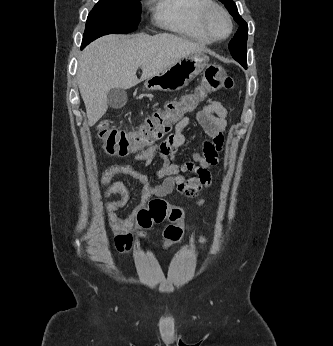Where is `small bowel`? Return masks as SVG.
<instances>
[{
    "mask_svg": "<svg viewBox=\"0 0 333 346\" xmlns=\"http://www.w3.org/2000/svg\"><path fill=\"white\" fill-rule=\"evenodd\" d=\"M195 118L202 127L206 139L202 143L200 151L190 153V161L178 165L171 161L173 153L185 144L183 131L190 123V117L184 116L175 125V132L160 144L153 145L147 150L136 153L135 158L144 166L152 163L155 153H159L163 164L162 167L148 174L139 171L135 167L116 163L111 165L103 174L101 185L105 187L104 197L119 195L117 200L105 205L104 210L108 217L109 227L115 235L112 239V246L117 250H129L134 246L132 232L135 216L138 210L144 206L146 201L152 197H164L177 191L186 198H195L202 189L210 186L212 181L211 169L218 161V155L224 142V134L227 129V109L217 99L209 98L205 101L202 109L197 110ZM190 172L194 176L183 179L181 172ZM123 174L133 178L141 189V203L134 212L122 219L117 216L116 210L124 207L130 200V192L122 182L111 183L114 176ZM153 179H164L160 184H153ZM203 199L197 200V205H202Z\"/></svg>",
    "mask_w": 333,
    "mask_h": 346,
    "instance_id": "c3829d8e",
    "label": "small bowel"
}]
</instances>
